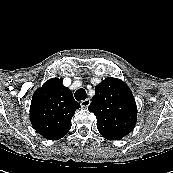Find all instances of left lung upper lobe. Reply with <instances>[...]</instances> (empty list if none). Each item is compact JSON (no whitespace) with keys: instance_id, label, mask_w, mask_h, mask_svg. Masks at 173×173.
Segmentation results:
<instances>
[{"instance_id":"obj_1","label":"left lung upper lobe","mask_w":173,"mask_h":173,"mask_svg":"<svg viewBox=\"0 0 173 173\" xmlns=\"http://www.w3.org/2000/svg\"><path fill=\"white\" fill-rule=\"evenodd\" d=\"M88 110L96 115L100 134L109 140H119L129 134L137 120L133 94L117 78H106L95 87V95Z\"/></svg>"}]
</instances>
